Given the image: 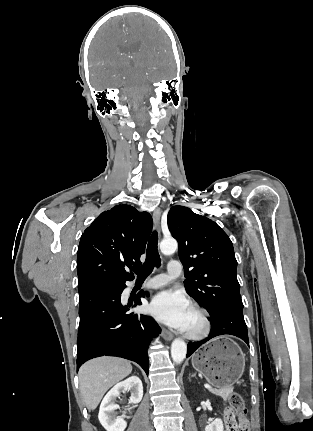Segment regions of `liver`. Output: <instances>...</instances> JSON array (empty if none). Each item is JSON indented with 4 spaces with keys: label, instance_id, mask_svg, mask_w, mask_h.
I'll list each match as a JSON object with an SVG mask.
<instances>
[{
    "label": "liver",
    "instance_id": "6515ba94",
    "mask_svg": "<svg viewBox=\"0 0 313 431\" xmlns=\"http://www.w3.org/2000/svg\"><path fill=\"white\" fill-rule=\"evenodd\" d=\"M131 372L130 362L121 358L100 357L83 364L79 383L88 410H94L107 390Z\"/></svg>",
    "mask_w": 313,
    "mask_h": 431
}]
</instances>
